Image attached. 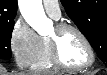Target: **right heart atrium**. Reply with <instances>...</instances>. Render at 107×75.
I'll return each mask as SVG.
<instances>
[{"label": "right heart atrium", "instance_id": "1", "mask_svg": "<svg viewBox=\"0 0 107 75\" xmlns=\"http://www.w3.org/2000/svg\"><path fill=\"white\" fill-rule=\"evenodd\" d=\"M39 47L40 37L23 19H17L10 34V49L18 66H31Z\"/></svg>", "mask_w": 107, "mask_h": 75}]
</instances>
